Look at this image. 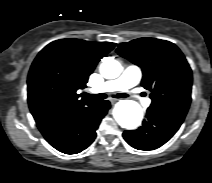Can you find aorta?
Segmentation results:
<instances>
[{
  "instance_id": "762f6f07",
  "label": "aorta",
  "mask_w": 212,
  "mask_h": 183,
  "mask_svg": "<svg viewBox=\"0 0 212 183\" xmlns=\"http://www.w3.org/2000/svg\"><path fill=\"white\" fill-rule=\"evenodd\" d=\"M122 72V66L117 60L107 59L100 65V73L106 79H115ZM117 123L125 129L132 130L140 125L143 112L141 106L132 100L118 102L113 110Z\"/></svg>"
}]
</instances>
